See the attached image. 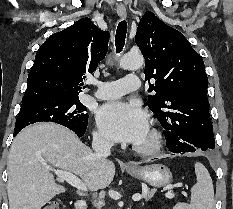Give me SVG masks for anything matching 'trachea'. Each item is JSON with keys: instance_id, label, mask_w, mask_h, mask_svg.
<instances>
[{"instance_id": "obj_1", "label": "trachea", "mask_w": 233, "mask_h": 209, "mask_svg": "<svg viewBox=\"0 0 233 209\" xmlns=\"http://www.w3.org/2000/svg\"><path fill=\"white\" fill-rule=\"evenodd\" d=\"M126 32H127L126 21L125 20L120 21L117 26L116 36H115V46L117 53H120L124 47Z\"/></svg>"}]
</instances>
